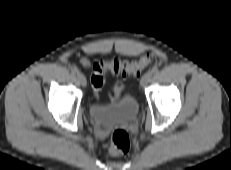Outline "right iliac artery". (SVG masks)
I'll use <instances>...</instances> for the list:
<instances>
[{
	"instance_id": "82829eb1",
	"label": "right iliac artery",
	"mask_w": 231,
	"mask_h": 170,
	"mask_svg": "<svg viewBox=\"0 0 231 170\" xmlns=\"http://www.w3.org/2000/svg\"><path fill=\"white\" fill-rule=\"evenodd\" d=\"M71 73L75 75V74H78L79 71H78V69H77L76 67H73V68L71 69Z\"/></svg>"
}]
</instances>
